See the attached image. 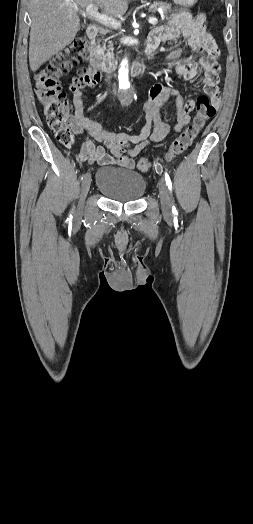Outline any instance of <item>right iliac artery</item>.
<instances>
[{
  "label": "right iliac artery",
  "mask_w": 253,
  "mask_h": 524,
  "mask_svg": "<svg viewBox=\"0 0 253 524\" xmlns=\"http://www.w3.org/2000/svg\"><path fill=\"white\" fill-rule=\"evenodd\" d=\"M85 177H86V174H85V173H82V175L80 176V180H81L82 183H83Z\"/></svg>",
  "instance_id": "1"
}]
</instances>
